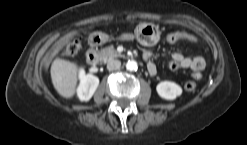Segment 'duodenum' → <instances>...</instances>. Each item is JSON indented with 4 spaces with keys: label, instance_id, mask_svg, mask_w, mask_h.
Wrapping results in <instances>:
<instances>
[{
    "label": "duodenum",
    "instance_id": "410a0bca",
    "mask_svg": "<svg viewBox=\"0 0 247 145\" xmlns=\"http://www.w3.org/2000/svg\"><path fill=\"white\" fill-rule=\"evenodd\" d=\"M103 42H104V39L101 35H93L90 38V47L86 51V59L89 65L95 66L97 64L98 55H97L96 49L97 47L102 45ZM147 67H148L149 72H152V73L156 72V68L153 63H148Z\"/></svg>",
    "mask_w": 247,
    "mask_h": 145
}]
</instances>
